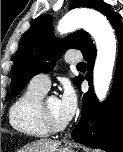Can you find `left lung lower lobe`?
Listing matches in <instances>:
<instances>
[{"label":"left lung lower lobe","instance_id":"left-lung-lower-lobe-1","mask_svg":"<svg viewBox=\"0 0 123 152\" xmlns=\"http://www.w3.org/2000/svg\"><path fill=\"white\" fill-rule=\"evenodd\" d=\"M119 41V55L114 85L107 102L98 103L93 91L92 70L96 57V48L91 42L82 51L88 62L86 79L89 81V91L82 98V115L78 125L72 131L73 140L92 148L107 152H123V25L121 16L111 13L108 16ZM80 76L77 85L83 81Z\"/></svg>","mask_w":123,"mask_h":152}]
</instances>
